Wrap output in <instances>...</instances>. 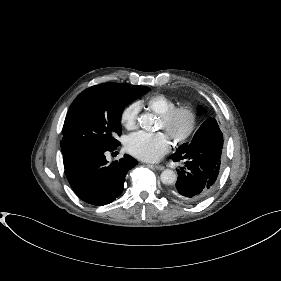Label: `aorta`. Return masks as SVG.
Masks as SVG:
<instances>
[{
  "label": "aorta",
  "instance_id": "1",
  "mask_svg": "<svg viewBox=\"0 0 281 281\" xmlns=\"http://www.w3.org/2000/svg\"><path fill=\"white\" fill-rule=\"evenodd\" d=\"M138 122H139V125L141 128L147 130V129L151 128L153 119L149 114H143L138 119ZM160 178H161V182L163 184L171 185L176 182L177 175L173 170L166 169V170L162 171Z\"/></svg>",
  "mask_w": 281,
  "mask_h": 281
}]
</instances>
